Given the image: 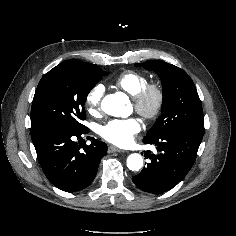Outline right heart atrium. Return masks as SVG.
Returning <instances> with one entry per match:
<instances>
[{
  "label": "right heart atrium",
  "mask_w": 236,
  "mask_h": 236,
  "mask_svg": "<svg viewBox=\"0 0 236 236\" xmlns=\"http://www.w3.org/2000/svg\"><path fill=\"white\" fill-rule=\"evenodd\" d=\"M104 90L103 85L97 84L88 91L85 97V106L89 114L93 116L100 114Z\"/></svg>",
  "instance_id": "obj_1"
}]
</instances>
